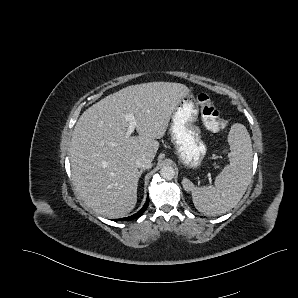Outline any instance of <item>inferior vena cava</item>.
Returning <instances> with one entry per match:
<instances>
[{
  "mask_svg": "<svg viewBox=\"0 0 298 298\" xmlns=\"http://www.w3.org/2000/svg\"><path fill=\"white\" fill-rule=\"evenodd\" d=\"M135 165L137 168L141 169H151L152 168V160L145 158V157H140L136 159Z\"/></svg>",
  "mask_w": 298,
  "mask_h": 298,
  "instance_id": "obj_1",
  "label": "inferior vena cava"
}]
</instances>
